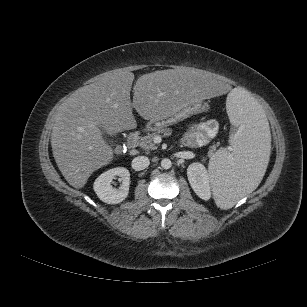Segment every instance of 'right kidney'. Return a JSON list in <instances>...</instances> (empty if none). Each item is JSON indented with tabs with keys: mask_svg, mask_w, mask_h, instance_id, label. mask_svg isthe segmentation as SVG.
<instances>
[{
	"mask_svg": "<svg viewBox=\"0 0 307 307\" xmlns=\"http://www.w3.org/2000/svg\"><path fill=\"white\" fill-rule=\"evenodd\" d=\"M119 176L122 184L119 189L111 186L114 177ZM130 173L124 167L109 169L94 182L93 188L98 198L107 204H118L125 200L129 193Z\"/></svg>",
	"mask_w": 307,
	"mask_h": 307,
	"instance_id": "right-kidney-1",
	"label": "right kidney"
}]
</instances>
